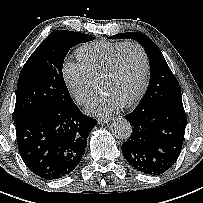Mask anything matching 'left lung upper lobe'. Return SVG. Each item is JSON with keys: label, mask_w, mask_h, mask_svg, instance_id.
<instances>
[{"label": "left lung upper lobe", "mask_w": 203, "mask_h": 203, "mask_svg": "<svg viewBox=\"0 0 203 203\" xmlns=\"http://www.w3.org/2000/svg\"><path fill=\"white\" fill-rule=\"evenodd\" d=\"M111 39L128 38L139 42L150 64V80L147 90L136 108L151 109L169 105H183L179 83L170 70L157 45L145 34L129 32L116 34Z\"/></svg>", "instance_id": "obj_1"}]
</instances>
